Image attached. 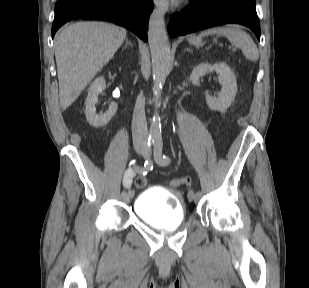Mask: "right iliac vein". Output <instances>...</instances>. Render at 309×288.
Masks as SVG:
<instances>
[{
    "label": "right iliac vein",
    "mask_w": 309,
    "mask_h": 288,
    "mask_svg": "<svg viewBox=\"0 0 309 288\" xmlns=\"http://www.w3.org/2000/svg\"><path fill=\"white\" fill-rule=\"evenodd\" d=\"M136 151H137L139 154H142V155L145 156V157H146V155H147V151H146L145 148H143V147H137V148H136ZM131 198H132V197H129V194H128V193L124 194V196H123V199H124V201H126V202H128Z\"/></svg>",
    "instance_id": "right-iliac-vein-1"
}]
</instances>
